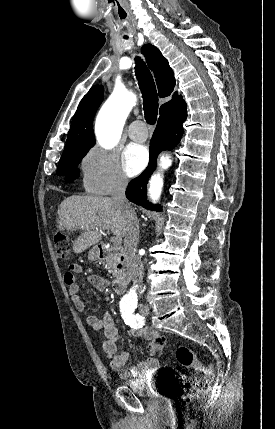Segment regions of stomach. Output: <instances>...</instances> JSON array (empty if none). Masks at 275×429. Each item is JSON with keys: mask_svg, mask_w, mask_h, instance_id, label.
<instances>
[{"mask_svg": "<svg viewBox=\"0 0 275 429\" xmlns=\"http://www.w3.org/2000/svg\"><path fill=\"white\" fill-rule=\"evenodd\" d=\"M88 259L90 261H95V260L99 259V252H98L97 248H93L89 251Z\"/></svg>", "mask_w": 275, "mask_h": 429, "instance_id": "0dacf381", "label": "stomach"}]
</instances>
